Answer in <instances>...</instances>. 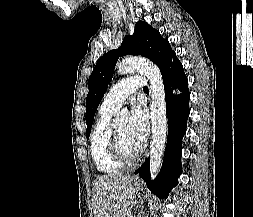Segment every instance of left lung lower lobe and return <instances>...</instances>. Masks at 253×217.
Returning <instances> with one entry per match:
<instances>
[{
	"mask_svg": "<svg viewBox=\"0 0 253 217\" xmlns=\"http://www.w3.org/2000/svg\"><path fill=\"white\" fill-rule=\"evenodd\" d=\"M165 89L166 113L168 117V139L163 165L159 175L151 182L149 158L135 171L148 187L159 197L165 198L178 184L181 171L182 138L186 132L189 116L188 79L176 55L161 69Z\"/></svg>",
	"mask_w": 253,
	"mask_h": 217,
	"instance_id": "1",
	"label": "left lung lower lobe"
}]
</instances>
